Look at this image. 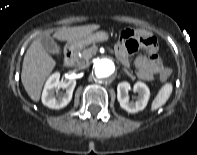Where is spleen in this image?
Returning <instances> with one entry per match:
<instances>
[{"label":"spleen","mask_w":197,"mask_h":155,"mask_svg":"<svg viewBox=\"0 0 197 155\" xmlns=\"http://www.w3.org/2000/svg\"><path fill=\"white\" fill-rule=\"evenodd\" d=\"M173 90V86L170 83L163 85L160 90L158 91L157 95L155 96L152 104H151V111H154L161 106H163L166 101L169 99Z\"/></svg>","instance_id":"3e777b00"}]
</instances>
